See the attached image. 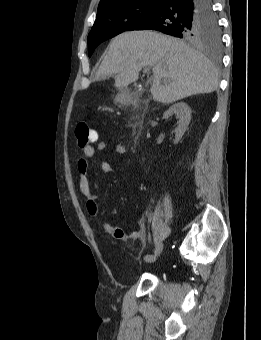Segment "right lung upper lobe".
<instances>
[{
	"instance_id": "obj_1",
	"label": "right lung upper lobe",
	"mask_w": 261,
	"mask_h": 340,
	"mask_svg": "<svg viewBox=\"0 0 261 340\" xmlns=\"http://www.w3.org/2000/svg\"><path fill=\"white\" fill-rule=\"evenodd\" d=\"M136 1H147V0H100L97 16H99L106 10L119 7V6H123V5H127L132 2H136Z\"/></svg>"
}]
</instances>
